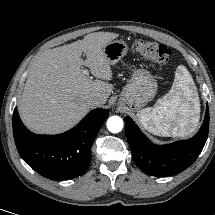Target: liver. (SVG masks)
<instances>
[{
	"instance_id": "1",
	"label": "liver",
	"mask_w": 215,
	"mask_h": 215,
	"mask_svg": "<svg viewBox=\"0 0 215 215\" xmlns=\"http://www.w3.org/2000/svg\"><path fill=\"white\" fill-rule=\"evenodd\" d=\"M118 37L116 33L95 32L82 40L46 50L31 63L19 113L24 124L39 134H57L78 123L89 111V97L108 100L113 85L112 70L103 53L106 44ZM82 53L86 59H81ZM90 69L96 80L82 72Z\"/></svg>"
}]
</instances>
